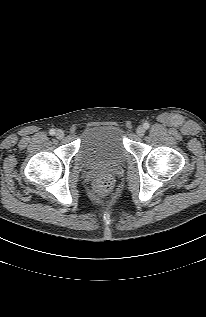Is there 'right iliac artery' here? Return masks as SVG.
<instances>
[{
    "label": "right iliac artery",
    "mask_w": 206,
    "mask_h": 317,
    "mask_svg": "<svg viewBox=\"0 0 206 317\" xmlns=\"http://www.w3.org/2000/svg\"><path fill=\"white\" fill-rule=\"evenodd\" d=\"M49 134H50V135H54V134H55V130H54V129H51V130L49 131Z\"/></svg>",
    "instance_id": "1"
}]
</instances>
